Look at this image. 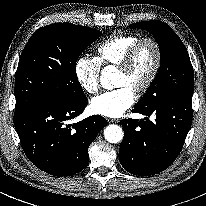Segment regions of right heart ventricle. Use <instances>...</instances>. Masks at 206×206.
I'll list each match as a JSON object with an SVG mask.
<instances>
[{"mask_svg":"<svg viewBox=\"0 0 206 206\" xmlns=\"http://www.w3.org/2000/svg\"><path fill=\"white\" fill-rule=\"evenodd\" d=\"M139 38L136 34H117L106 39L96 49L98 62L104 67H119Z\"/></svg>","mask_w":206,"mask_h":206,"instance_id":"right-heart-ventricle-1","label":"right heart ventricle"}]
</instances>
